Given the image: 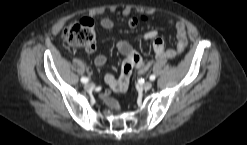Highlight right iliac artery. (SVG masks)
Segmentation results:
<instances>
[{
  "mask_svg": "<svg viewBox=\"0 0 247 145\" xmlns=\"http://www.w3.org/2000/svg\"><path fill=\"white\" fill-rule=\"evenodd\" d=\"M89 80H88V78H86V77H82L81 78V82L82 83H87Z\"/></svg>",
  "mask_w": 247,
  "mask_h": 145,
  "instance_id": "obj_1",
  "label": "right iliac artery"
}]
</instances>
